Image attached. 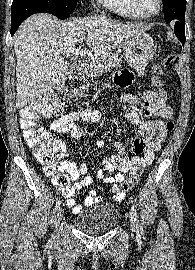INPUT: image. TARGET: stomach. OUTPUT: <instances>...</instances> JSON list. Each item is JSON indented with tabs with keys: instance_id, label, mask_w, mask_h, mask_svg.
I'll return each mask as SVG.
<instances>
[{
	"instance_id": "1",
	"label": "stomach",
	"mask_w": 195,
	"mask_h": 270,
	"mask_svg": "<svg viewBox=\"0 0 195 270\" xmlns=\"http://www.w3.org/2000/svg\"><path fill=\"white\" fill-rule=\"evenodd\" d=\"M123 51L129 66L139 75H143L148 62L155 54L156 47L153 38L143 32L125 39Z\"/></svg>"
}]
</instances>
